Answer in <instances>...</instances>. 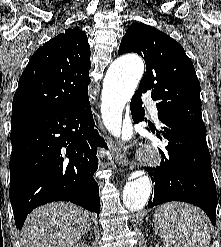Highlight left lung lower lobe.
Returning a JSON list of instances; mask_svg holds the SVG:
<instances>
[{"label":"left lung lower lobe","instance_id":"obj_1","mask_svg":"<svg viewBox=\"0 0 221 247\" xmlns=\"http://www.w3.org/2000/svg\"><path fill=\"white\" fill-rule=\"evenodd\" d=\"M133 121L144 120L141 96L131 99ZM161 130L151 128L162 140H168L160 166L146 168L152 183L155 182L154 198L148 208L169 201H182L202 208L212 224H216L217 193L211 169V156L206 142L204 125L188 124L174 119L159 118Z\"/></svg>","mask_w":221,"mask_h":247}]
</instances>
